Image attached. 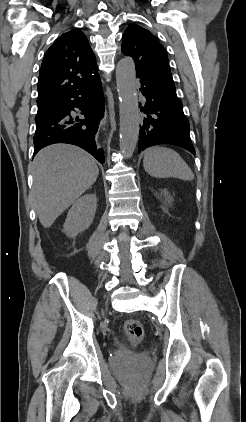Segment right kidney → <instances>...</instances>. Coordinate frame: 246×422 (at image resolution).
Listing matches in <instances>:
<instances>
[{
  "mask_svg": "<svg viewBox=\"0 0 246 422\" xmlns=\"http://www.w3.org/2000/svg\"><path fill=\"white\" fill-rule=\"evenodd\" d=\"M96 208L97 198L95 194H85L76 200L63 225L65 234L68 237H75L87 229L94 220Z\"/></svg>",
  "mask_w": 246,
  "mask_h": 422,
  "instance_id": "ca27d5eb",
  "label": "right kidney"
}]
</instances>
